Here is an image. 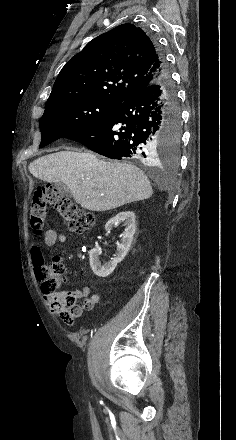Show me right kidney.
I'll list each match as a JSON object with an SVG mask.
<instances>
[{"label": "right kidney", "instance_id": "ca27d5eb", "mask_svg": "<svg viewBox=\"0 0 236 440\" xmlns=\"http://www.w3.org/2000/svg\"><path fill=\"white\" fill-rule=\"evenodd\" d=\"M120 222H124L126 228L122 234L123 238L121 243L117 246L116 255L111 261L101 264V261L99 260L101 250L98 248L91 249L89 252L91 269L94 274L99 277L109 276L114 271L117 264L124 259L131 247L133 236L136 231L135 214L132 211L120 212L106 223L105 229L111 230Z\"/></svg>", "mask_w": 236, "mask_h": 440}]
</instances>
